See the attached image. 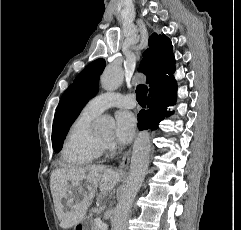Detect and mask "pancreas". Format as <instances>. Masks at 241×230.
I'll use <instances>...</instances> for the list:
<instances>
[{
	"label": "pancreas",
	"instance_id": "pancreas-1",
	"mask_svg": "<svg viewBox=\"0 0 241 230\" xmlns=\"http://www.w3.org/2000/svg\"><path fill=\"white\" fill-rule=\"evenodd\" d=\"M93 230H101V228L97 225L96 221L94 222Z\"/></svg>",
	"mask_w": 241,
	"mask_h": 230
}]
</instances>
